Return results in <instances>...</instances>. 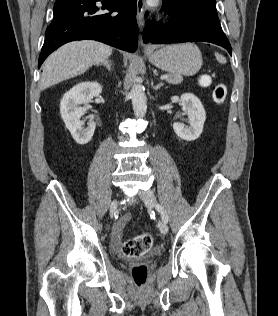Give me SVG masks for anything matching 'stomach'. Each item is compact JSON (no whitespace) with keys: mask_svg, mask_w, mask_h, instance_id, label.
I'll return each instance as SVG.
<instances>
[{"mask_svg":"<svg viewBox=\"0 0 278 316\" xmlns=\"http://www.w3.org/2000/svg\"><path fill=\"white\" fill-rule=\"evenodd\" d=\"M149 61L159 69L171 74L195 75L202 66V55L193 44L166 46L148 54Z\"/></svg>","mask_w":278,"mask_h":316,"instance_id":"0dacf381","label":"stomach"}]
</instances>
